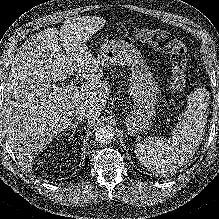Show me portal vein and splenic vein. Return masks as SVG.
<instances>
[{"label":"portal vein and splenic vein","instance_id":"18ae733b","mask_svg":"<svg viewBox=\"0 0 219 219\" xmlns=\"http://www.w3.org/2000/svg\"><path fill=\"white\" fill-rule=\"evenodd\" d=\"M73 85V82H71L69 85L66 86V89L54 87V91L59 90L60 92L65 93L68 91V89H72L74 87Z\"/></svg>","mask_w":219,"mask_h":219}]
</instances>
